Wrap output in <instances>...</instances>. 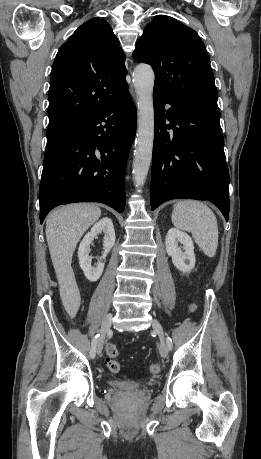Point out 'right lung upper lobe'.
<instances>
[{
    "label": "right lung upper lobe",
    "instance_id": "1",
    "mask_svg": "<svg viewBox=\"0 0 261 459\" xmlns=\"http://www.w3.org/2000/svg\"><path fill=\"white\" fill-rule=\"evenodd\" d=\"M126 75L125 55L109 24L100 18L87 21L54 60L48 126L91 117L128 90Z\"/></svg>",
    "mask_w": 261,
    "mask_h": 459
}]
</instances>
